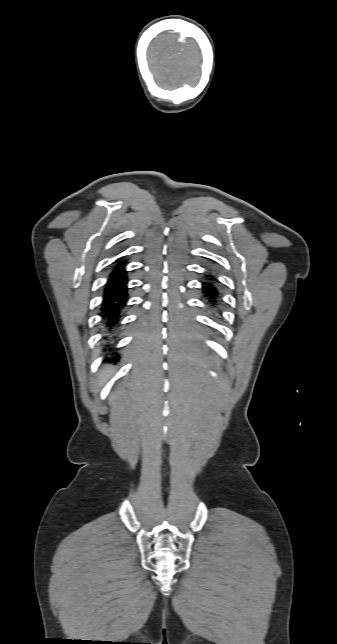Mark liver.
Wrapping results in <instances>:
<instances>
[{"instance_id":"1","label":"liver","mask_w":337,"mask_h":644,"mask_svg":"<svg viewBox=\"0 0 337 644\" xmlns=\"http://www.w3.org/2000/svg\"><path fill=\"white\" fill-rule=\"evenodd\" d=\"M112 374H113V371L110 369L102 371L99 376L98 386L100 387L103 386L108 381V379L111 377Z\"/></svg>"}]
</instances>
